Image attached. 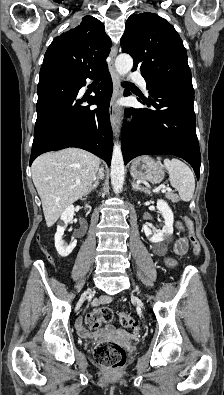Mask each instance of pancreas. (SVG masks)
Wrapping results in <instances>:
<instances>
[{
  "instance_id": "obj_1",
  "label": "pancreas",
  "mask_w": 224,
  "mask_h": 395,
  "mask_svg": "<svg viewBox=\"0 0 224 395\" xmlns=\"http://www.w3.org/2000/svg\"><path fill=\"white\" fill-rule=\"evenodd\" d=\"M166 197L174 203L179 201L178 196L173 193H166Z\"/></svg>"
}]
</instances>
